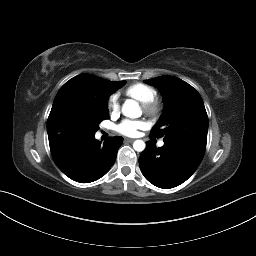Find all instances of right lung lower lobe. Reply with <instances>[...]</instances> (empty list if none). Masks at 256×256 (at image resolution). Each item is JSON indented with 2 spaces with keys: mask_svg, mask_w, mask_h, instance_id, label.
Returning a JSON list of instances; mask_svg holds the SVG:
<instances>
[{
  "mask_svg": "<svg viewBox=\"0 0 256 256\" xmlns=\"http://www.w3.org/2000/svg\"><path fill=\"white\" fill-rule=\"evenodd\" d=\"M94 135L73 134L49 136V145L57 167L69 178L89 183L105 175L114 164L120 136L109 137L103 145Z\"/></svg>",
  "mask_w": 256,
  "mask_h": 256,
  "instance_id": "obj_1",
  "label": "right lung lower lobe"
}]
</instances>
